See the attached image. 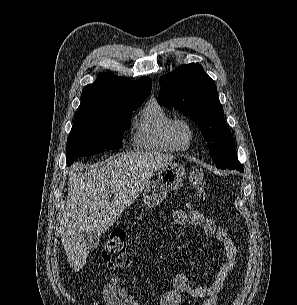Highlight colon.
<instances>
[{
    "instance_id": "1",
    "label": "colon",
    "mask_w": 297,
    "mask_h": 305,
    "mask_svg": "<svg viewBox=\"0 0 297 305\" xmlns=\"http://www.w3.org/2000/svg\"><path fill=\"white\" fill-rule=\"evenodd\" d=\"M189 182L195 189L196 202H202L205 199V176L202 169H192L189 174ZM102 259L109 268H117L127 262L126 235L123 231H114L109 235L103 246Z\"/></svg>"
}]
</instances>
